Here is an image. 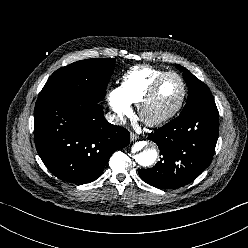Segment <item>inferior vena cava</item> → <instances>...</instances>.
Listing matches in <instances>:
<instances>
[{
    "mask_svg": "<svg viewBox=\"0 0 248 248\" xmlns=\"http://www.w3.org/2000/svg\"><path fill=\"white\" fill-rule=\"evenodd\" d=\"M105 117H106L108 122H110L111 124H114V125H123L126 123V119L121 114L108 113V114H106Z\"/></svg>",
    "mask_w": 248,
    "mask_h": 248,
    "instance_id": "inferior-vena-cava-1",
    "label": "inferior vena cava"
}]
</instances>
